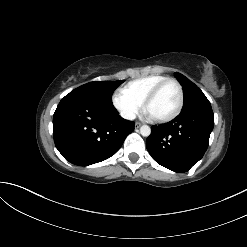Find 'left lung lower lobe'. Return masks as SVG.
<instances>
[{"mask_svg":"<svg viewBox=\"0 0 247 247\" xmlns=\"http://www.w3.org/2000/svg\"><path fill=\"white\" fill-rule=\"evenodd\" d=\"M213 126L208 100L190 104L172 121L152 127L147 150L158 164L177 173L187 172L207 150Z\"/></svg>","mask_w":247,"mask_h":247,"instance_id":"left-lung-lower-lobe-1","label":"left lung lower lobe"}]
</instances>
